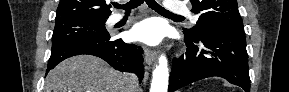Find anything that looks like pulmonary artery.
Listing matches in <instances>:
<instances>
[{"label": "pulmonary artery", "mask_w": 289, "mask_h": 92, "mask_svg": "<svg viewBox=\"0 0 289 92\" xmlns=\"http://www.w3.org/2000/svg\"><path fill=\"white\" fill-rule=\"evenodd\" d=\"M165 8L166 10H168L171 13L174 14H187L190 15V18L192 19V21H196L197 17L194 15H191L189 10L182 4L180 3H176V2H172V1H166L165 2ZM123 14H115L111 17V22L115 23L120 21L123 18Z\"/></svg>", "instance_id": "1"}]
</instances>
